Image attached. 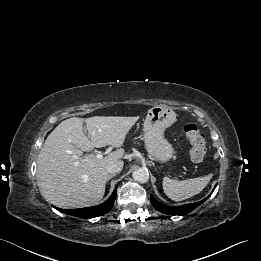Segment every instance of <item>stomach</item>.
I'll use <instances>...</instances> for the list:
<instances>
[{
	"mask_svg": "<svg viewBox=\"0 0 261 261\" xmlns=\"http://www.w3.org/2000/svg\"><path fill=\"white\" fill-rule=\"evenodd\" d=\"M175 121V112L164 106H154L149 109L144 120L143 139L146 150L159 162H167L173 157L174 149L165 139L164 132Z\"/></svg>",
	"mask_w": 261,
	"mask_h": 261,
	"instance_id": "obj_1",
	"label": "stomach"
}]
</instances>
